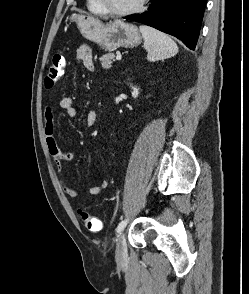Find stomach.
Here are the masks:
<instances>
[{"label": "stomach", "mask_w": 249, "mask_h": 294, "mask_svg": "<svg viewBox=\"0 0 249 294\" xmlns=\"http://www.w3.org/2000/svg\"><path fill=\"white\" fill-rule=\"evenodd\" d=\"M71 21H75L81 34L105 50H113L119 47H135L141 43V34L136 25L125 23L122 20H114L103 24L92 16L72 15Z\"/></svg>", "instance_id": "obj_1"}]
</instances>
